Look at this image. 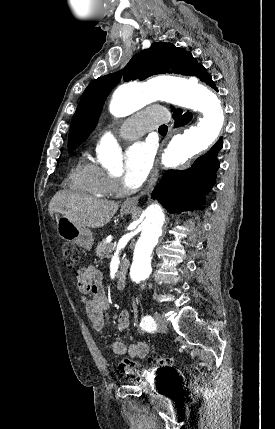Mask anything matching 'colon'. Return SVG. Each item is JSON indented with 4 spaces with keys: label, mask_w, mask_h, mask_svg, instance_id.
<instances>
[{
    "label": "colon",
    "mask_w": 275,
    "mask_h": 429,
    "mask_svg": "<svg viewBox=\"0 0 275 429\" xmlns=\"http://www.w3.org/2000/svg\"><path fill=\"white\" fill-rule=\"evenodd\" d=\"M63 253V264L67 268H72L79 259V251L78 249L71 243L66 242L62 246ZM151 363L153 365V370L157 372H162L163 370H169L173 366V359L170 357L158 356L151 359ZM120 369L126 373H128L132 379H138L142 371L139 369V366L130 361L128 359H124L120 363Z\"/></svg>",
    "instance_id": "1"
}]
</instances>
